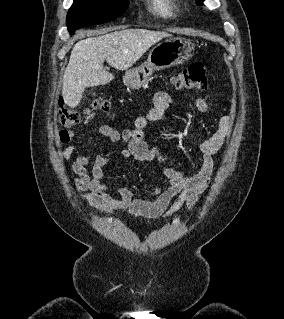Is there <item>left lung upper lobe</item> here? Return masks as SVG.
Segmentation results:
<instances>
[{"label":"left lung upper lobe","mask_w":284,"mask_h":319,"mask_svg":"<svg viewBox=\"0 0 284 319\" xmlns=\"http://www.w3.org/2000/svg\"><path fill=\"white\" fill-rule=\"evenodd\" d=\"M204 0H196L198 5H202Z\"/></svg>","instance_id":"5c2ea615"}]
</instances>
